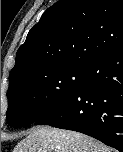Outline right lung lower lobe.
<instances>
[{
  "mask_svg": "<svg viewBox=\"0 0 123 152\" xmlns=\"http://www.w3.org/2000/svg\"><path fill=\"white\" fill-rule=\"evenodd\" d=\"M34 124L81 132L123 152V44L90 62L78 89Z\"/></svg>",
  "mask_w": 123,
  "mask_h": 152,
  "instance_id": "1",
  "label": "right lung lower lobe"
}]
</instances>
